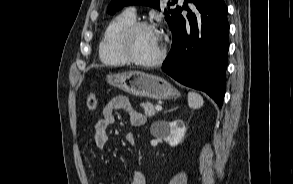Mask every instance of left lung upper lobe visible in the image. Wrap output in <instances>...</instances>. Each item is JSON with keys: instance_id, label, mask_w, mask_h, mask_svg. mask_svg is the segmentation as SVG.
<instances>
[{"instance_id": "5c2ea615", "label": "left lung upper lobe", "mask_w": 293, "mask_h": 184, "mask_svg": "<svg viewBox=\"0 0 293 184\" xmlns=\"http://www.w3.org/2000/svg\"><path fill=\"white\" fill-rule=\"evenodd\" d=\"M176 2H177V0H173L172 2H168L167 5L170 6ZM133 4L147 5V6L156 8L158 10L161 9V6L159 4V0H113L108 6V13L114 14L116 11L121 10L124 6L133 5ZM174 10L175 9L168 8V10L165 9V12H164V14L166 15L165 19L168 22L169 26L172 22Z\"/></svg>"}]
</instances>
